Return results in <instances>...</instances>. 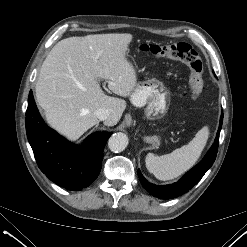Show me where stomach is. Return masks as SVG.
<instances>
[{
    "label": "stomach",
    "instance_id": "stomach-1",
    "mask_svg": "<svg viewBox=\"0 0 247 247\" xmlns=\"http://www.w3.org/2000/svg\"><path fill=\"white\" fill-rule=\"evenodd\" d=\"M130 100L136 107L146 106L145 115L148 119H160L167 114L171 97L163 82L151 78L136 84Z\"/></svg>",
    "mask_w": 247,
    "mask_h": 247
}]
</instances>
